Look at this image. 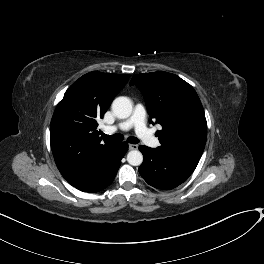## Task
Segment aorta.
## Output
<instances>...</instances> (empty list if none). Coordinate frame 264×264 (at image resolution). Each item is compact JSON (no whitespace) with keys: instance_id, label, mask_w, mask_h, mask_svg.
<instances>
[{"instance_id":"762f6f07","label":"aorta","mask_w":264,"mask_h":264,"mask_svg":"<svg viewBox=\"0 0 264 264\" xmlns=\"http://www.w3.org/2000/svg\"><path fill=\"white\" fill-rule=\"evenodd\" d=\"M112 111L117 118H128L132 113V102L129 98L121 96L112 102ZM127 161L132 166H139L143 162V155L139 150H132L127 154Z\"/></svg>"}]
</instances>
